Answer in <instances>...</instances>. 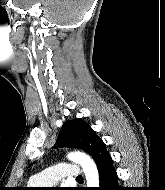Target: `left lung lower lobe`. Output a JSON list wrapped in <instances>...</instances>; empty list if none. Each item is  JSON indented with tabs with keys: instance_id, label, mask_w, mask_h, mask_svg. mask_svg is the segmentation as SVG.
I'll return each instance as SVG.
<instances>
[{
	"instance_id": "1",
	"label": "left lung lower lobe",
	"mask_w": 165,
	"mask_h": 190,
	"mask_svg": "<svg viewBox=\"0 0 165 190\" xmlns=\"http://www.w3.org/2000/svg\"><path fill=\"white\" fill-rule=\"evenodd\" d=\"M112 162L111 156L107 155L96 163L100 179V187L97 190H119V187H117L118 177Z\"/></svg>"
}]
</instances>
